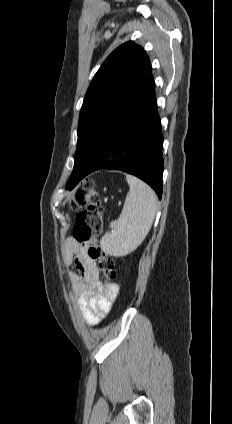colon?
<instances>
[{
    "mask_svg": "<svg viewBox=\"0 0 232 424\" xmlns=\"http://www.w3.org/2000/svg\"><path fill=\"white\" fill-rule=\"evenodd\" d=\"M68 205L72 210H81L75 221L73 237L89 246V256L97 260L99 269L108 280L116 277L115 261L106 254L99 242L102 229L103 207L99 201L96 183L86 179L79 187L70 192Z\"/></svg>",
    "mask_w": 232,
    "mask_h": 424,
    "instance_id": "1",
    "label": "colon"
}]
</instances>
